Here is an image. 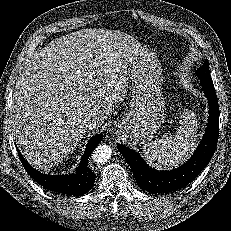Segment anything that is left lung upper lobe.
I'll use <instances>...</instances> for the list:
<instances>
[{
	"label": "left lung upper lobe",
	"mask_w": 231,
	"mask_h": 231,
	"mask_svg": "<svg viewBox=\"0 0 231 231\" xmlns=\"http://www.w3.org/2000/svg\"><path fill=\"white\" fill-rule=\"evenodd\" d=\"M197 75L202 80L212 81V78L209 72V63L207 60H205L203 66L197 70Z\"/></svg>",
	"instance_id": "left-lung-upper-lobe-1"
}]
</instances>
